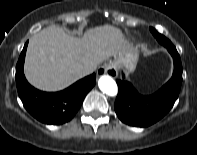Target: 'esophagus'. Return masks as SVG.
Returning <instances> with one entry per match:
<instances>
[{
    "label": "esophagus",
    "instance_id": "34e87169",
    "mask_svg": "<svg viewBox=\"0 0 197 155\" xmlns=\"http://www.w3.org/2000/svg\"><path fill=\"white\" fill-rule=\"evenodd\" d=\"M100 75H109L111 77H117L118 69L115 62H106L104 65L99 69Z\"/></svg>",
    "mask_w": 197,
    "mask_h": 155
}]
</instances>
